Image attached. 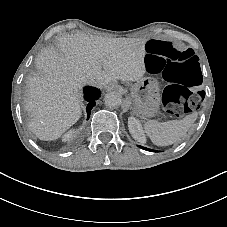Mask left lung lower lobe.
Returning <instances> with one entry per match:
<instances>
[{
	"mask_svg": "<svg viewBox=\"0 0 227 227\" xmlns=\"http://www.w3.org/2000/svg\"><path fill=\"white\" fill-rule=\"evenodd\" d=\"M140 148H142V149H144V150H147V151L157 152V151H155V150H151V149H148V148H145V147H141V146H140Z\"/></svg>",
	"mask_w": 227,
	"mask_h": 227,
	"instance_id": "obj_1",
	"label": "left lung lower lobe"
}]
</instances>
